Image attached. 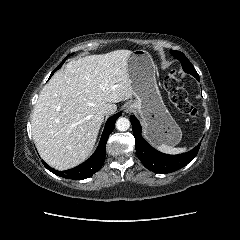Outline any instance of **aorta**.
<instances>
[{
    "label": "aorta",
    "instance_id": "aorta-1",
    "mask_svg": "<svg viewBox=\"0 0 240 240\" xmlns=\"http://www.w3.org/2000/svg\"><path fill=\"white\" fill-rule=\"evenodd\" d=\"M116 128L119 131H127L130 128V121L128 118L120 117L116 121Z\"/></svg>",
    "mask_w": 240,
    "mask_h": 240
}]
</instances>
